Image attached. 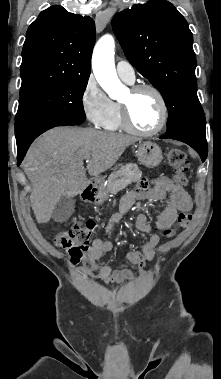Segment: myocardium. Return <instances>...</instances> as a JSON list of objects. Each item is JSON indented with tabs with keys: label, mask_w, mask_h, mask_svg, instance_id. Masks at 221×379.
I'll return each mask as SVG.
<instances>
[{
	"label": "myocardium",
	"mask_w": 221,
	"mask_h": 379,
	"mask_svg": "<svg viewBox=\"0 0 221 379\" xmlns=\"http://www.w3.org/2000/svg\"><path fill=\"white\" fill-rule=\"evenodd\" d=\"M143 91H149L155 95L160 107V119L157 126L151 130H141L137 128L131 119L129 107L126 103L120 102V113L123 128L127 131L144 137H149L158 134L165 127L168 120V106L162 92L153 85L150 84H137L130 88L129 92L132 95H136Z\"/></svg>",
	"instance_id": "myocardium-1"
}]
</instances>
